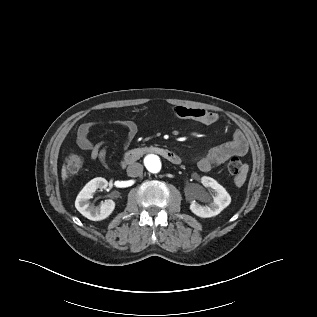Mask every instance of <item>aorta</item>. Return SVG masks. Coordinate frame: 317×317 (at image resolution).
<instances>
[{"instance_id":"762f6f07","label":"aorta","mask_w":317,"mask_h":317,"mask_svg":"<svg viewBox=\"0 0 317 317\" xmlns=\"http://www.w3.org/2000/svg\"><path fill=\"white\" fill-rule=\"evenodd\" d=\"M145 166L151 173H157L161 169V161L155 155H149L145 158Z\"/></svg>"}]
</instances>
